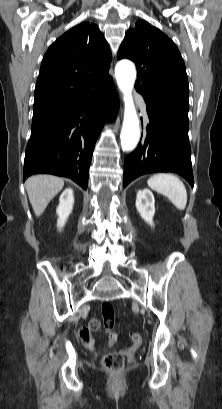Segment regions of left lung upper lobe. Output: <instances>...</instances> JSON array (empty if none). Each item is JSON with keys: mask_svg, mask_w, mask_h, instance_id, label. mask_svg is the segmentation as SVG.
I'll use <instances>...</instances> for the list:
<instances>
[{"mask_svg": "<svg viewBox=\"0 0 222 409\" xmlns=\"http://www.w3.org/2000/svg\"><path fill=\"white\" fill-rule=\"evenodd\" d=\"M118 59L135 62V87L144 98L161 102L182 99L189 105V86L185 64L176 45L146 21H137L127 31Z\"/></svg>", "mask_w": 222, "mask_h": 409, "instance_id": "left-lung-upper-lobe-1", "label": "left lung upper lobe"}]
</instances>
